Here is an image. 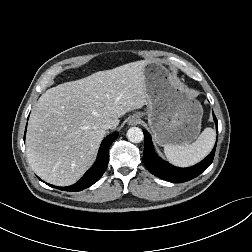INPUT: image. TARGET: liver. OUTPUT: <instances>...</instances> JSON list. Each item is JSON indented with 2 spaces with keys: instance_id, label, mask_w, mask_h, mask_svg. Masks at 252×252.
<instances>
[{
  "instance_id": "1",
  "label": "liver",
  "mask_w": 252,
  "mask_h": 252,
  "mask_svg": "<svg viewBox=\"0 0 252 252\" xmlns=\"http://www.w3.org/2000/svg\"><path fill=\"white\" fill-rule=\"evenodd\" d=\"M146 61L59 84L35 104L26 136L27 160L44 181L74 184L91 164L106 131L119 118L148 104L143 74Z\"/></svg>"
}]
</instances>
